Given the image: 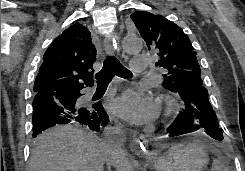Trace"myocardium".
Returning a JSON list of instances; mask_svg holds the SVG:
<instances>
[{"instance_id": "myocardium-1", "label": "myocardium", "mask_w": 245, "mask_h": 171, "mask_svg": "<svg viewBox=\"0 0 245 171\" xmlns=\"http://www.w3.org/2000/svg\"><path fill=\"white\" fill-rule=\"evenodd\" d=\"M162 105L163 117L168 118L173 115L178 109L177 100L171 95H163L160 97Z\"/></svg>"}]
</instances>
